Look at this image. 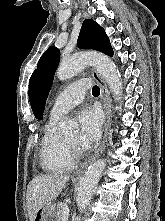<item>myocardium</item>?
I'll return each mask as SVG.
<instances>
[{
  "label": "myocardium",
  "instance_id": "myocardium-1",
  "mask_svg": "<svg viewBox=\"0 0 165 221\" xmlns=\"http://www.w3.org/2000/svg\"><path fill=\"white\" fill-rule=\"evenodd\" d=\"M64 142L66 147L68 148L71 155L76 159L83 156L84 152L79 148L78 145L69 142L66 138H64Z\"/></svg>",
  "mask_w": 165,
  "mask_h": 221
}]
</instances>
